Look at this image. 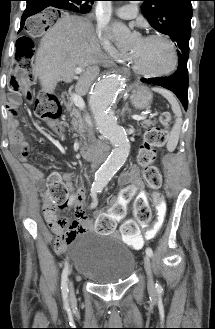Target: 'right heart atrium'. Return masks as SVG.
Returning a JSON list of instances; mask_svg holds the SVG:
<instances>
[{
  "mask_svg": "<svg viewBox=\"0 0 215 329\" xmlns=\"http://www.w3.org/2000/svg\"><path fill=\"white\" fill-rule=\"evenodd\" d=\"M96 33L107 52L115 59L124 58L113 42V35L111 29L103 22H98L96 26Z\"/></svg>",
  "mask_w": 215,
  "mask_h": 329,
  "instance_id": "1",
  "label": "right heart atrium"
}]
</instances>
